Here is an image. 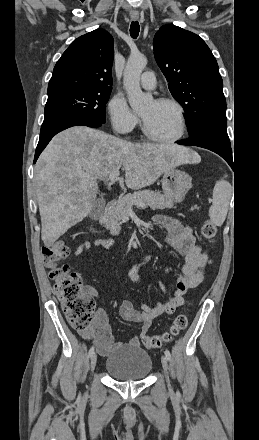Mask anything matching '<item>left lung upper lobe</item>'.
<instances>
[{
  "mask_svg": "<svg viewBox=\"0 0 259 440\" xmlns=\"http://www.w3.org/2000/svg\"><path fill=\"white\" fill-rule=\"evenodd\" d=\"M153 49L172 96L185 110L189 133L210 120L227 122L218 64L202 38L168 24L155 34Z\"/></svg>",
  "mask_w": 259,
  "mask_h": 440,
  "instance_id": "1",
  "label": "left lung upper lobe"
}]
</instances>
